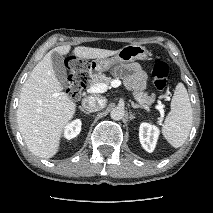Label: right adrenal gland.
Masks as SVG:
<instances>
[{
	"mask_svg": "<svg viewBox=\"0 0 213 213\" xmlns=\"http://www.w3.org/2000/svg\"><path fill=\"white\" fill-rule=\"evenodd\" d=\"M80 111L85 113L86 115H90L89 111L84 110L82 107H79Z\"/></svg>",
	"mask_w": 213,
	"mask_h": 213,
	"instance_id": "right-adrenal-gland-1",
	"label": "right adrenal gland"
}]
</instances>
